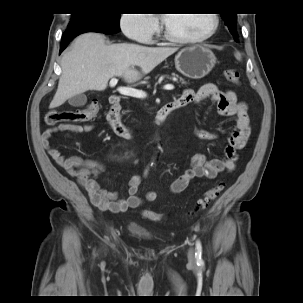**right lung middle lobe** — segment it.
Here are the masks:
<instances>
[{
  "instance_id": "right-lung-middle-lobe-1",
  "label": "right lung middle lobe",
  "mask_w": 303,
  "mask_h": 303,
  "mask_svg": "<svg viewBox=\"0 0 303 303\" xmlns=\"http://www.w3.org/2000/svg\"><path fill=\"white\" fill-rule=\"evenodd\" d=\"M121 14L119 13H95L85 12L80 14H72L67 30L89 23H106L119 25Z\"/></svg>"
}]
</instances>
